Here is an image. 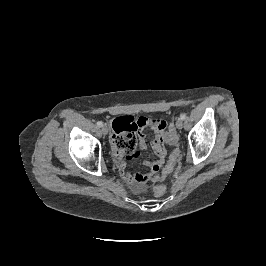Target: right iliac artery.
<instances>
[{"instance_id":"82829eb1","label":"right iliac artery","mask_w":266,"mask_h":266,"mask_svg":"<svg viewBox=\"0 0 266 266\" xmlns=\"http://www.w3.org/2000/svg\"><path fill=\"white\" fill-rule=\"evenodd\" d=\"M97 125H98L99 127H102V126H103V123H102L101 121H98V122H97Z\"/></svg>"}]
</instances>
